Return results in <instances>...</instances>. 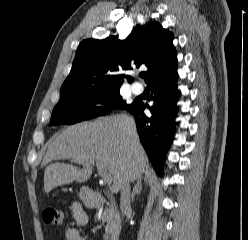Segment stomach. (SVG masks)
Instances as JSON below:
<instances>
[{
  "label": "stomach",
  "instance_id": "1",
  "mask_svg": "<svg viewBox=\"0 0 248 240\" xmlns=\"http://www.w3.org/2000/svg\"><path fill=\"white\" fill-rule=\"evenodd\" d=\"M79 196L83 201H88L90 199L84 189L80 191Z\"/></svg>",
  "mask_w": 248,
  "mask_h": 240
}]
</instances>
